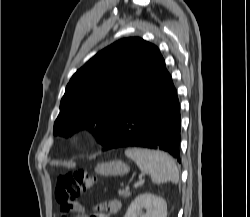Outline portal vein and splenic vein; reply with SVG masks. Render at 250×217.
<instances>
[{
    "label": "portal vein and splenic vein",
    "instance_id": "portal-vein-and-splenic-vein-1",
    "mask_svg": "<svg viewBox=\"0 0 250 217\" xmlns=\"http://www.w3.org/2000/svg\"><path fill=\"white\" fill-rule=\"evenodd\" d=\"M144 184V180H140L139 182L134 184V187H138L140 185ZM126 189H129V186L126 187Z\"/></svg>",
    "mask_w": 250,
    "mask_h": 217
}]
</instances>
